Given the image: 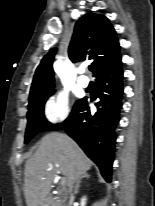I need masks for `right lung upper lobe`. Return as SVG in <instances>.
<instances>
[{"instance_id":"right-lung-upper-lobe-1","label":"right lung upper lobe","mask_w":155,"mask_h":206,"mask_svg":"<svg viewBox=\"0 0 155 206\" xmlns=\"http://www.w3.org/2000/svg\"><path fill=\"white\" fill-rule=\"evenodd\" d=\"M55 53L54 48L41 60L33 77L30 96L53 87L52 63ZM68 53L72 62L92 60V71L96 78L121 58L116 32L109 20L99 14H86L77 21Z\"/></svg>"}]
</instances>
